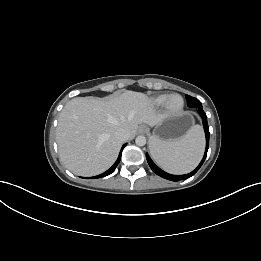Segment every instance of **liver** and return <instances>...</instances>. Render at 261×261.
<instances>
[{
  "mask_svg": "<svg viewBox=\"0 0 261 261\" xmlns=\"http://www.w3.org/2000/svg\"><path fill=\"white\" fill-rule=\"evenodd\" d=\"M166 116L155 112L149 98L126 91L106 98L79 97L60 113L56 141L60 160L74 174L94 176L116 160L123 142L132 139L139 124L155 126ZM126 139L115 138L117 130Z\"/></svg>",
  "mask_w": 261,
  "mask_h": 261,
  "instance_id": "1",
  "label": "liver"
}]
</instances>
